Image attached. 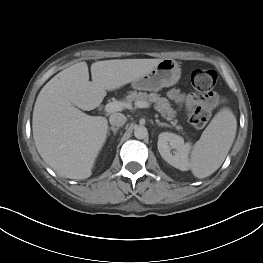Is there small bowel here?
Masks as SVG:
<instances>
[{
	"label": "small bowel",
	"instance_id": "obj_1",
	"mask_svg": "<svg viewBox=\"0 0 263 263\" xmlns=\"http://www.w3.org/2000/svg\"><path fill=\"white\" fill-rule=\"evenodd\" d=\"M168 96L176 103L184 105L185 107L188 108L202 102V99L197 94H193V93L184 94L180 92L178 89L170 90Z\"/></svg>",
	"mask_w": 263,
	"mask_h": 263
}]
</instances>
